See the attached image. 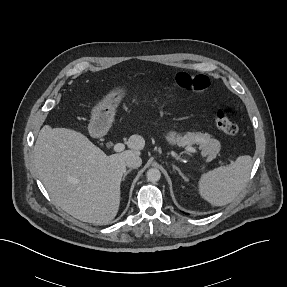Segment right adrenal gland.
<instances>
[{
	"label": "right adrenal gland",
	"mask_w": 287,
	"mask_h": 287,
	"mask_svg": "<svg viewBox=\"0 0 287 287\" xmlns=\"http://www.w3.org/2000/svg\"><path fill=\"white\" fill-rule=\"evenodd\" d=\"M131 170H132V169H129V170H127V171L125 172L124 177H123V180L125 179V177L127 176V174H128Z\"/></svg>",
	"instance_id": "2a0ac1e0"
}]
</instances>
